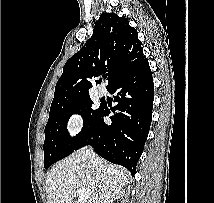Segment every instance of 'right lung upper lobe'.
Listing matches in <instances>:
<instances>
[{
    "label": "right lung upper lobe",
    "mask_w": 214,
    "mask_h": 203,
    "mask_svg": "<svg viewBox=\"0 0 214 203\" xmlns=\"http://www.w3.org/2000/svg\"><path fill=\"white\" fill-rule=\"evenodd\" d=\"M148 61L143 54L137 30L126 17L103 13L95 23L93 34L80 51L64 65L50 111L89 97L95 78L106 73L108 86L137 70Z\"/></svg>",
    "instance_id": "cb5924a9"
}]
</instances>
